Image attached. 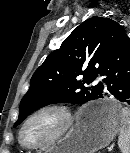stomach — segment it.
I'll return each mask as SVG.
<instances>
[{"label": "stomach", "mask_w": 130, "mask_h": 153, "mask_svg": "<svg viewBox=\"0 0 130 153\" xmlns=\"http://www.w3.org/2000/svg\"><path fill=\"white\" fill-rule=\"evenodd\" d=\"M122 125L121 106L113 99L81 110L71 131L43 153H95L108 146Z\"/></svg>", "instance_id": "stomach-1"}]
</instances>
